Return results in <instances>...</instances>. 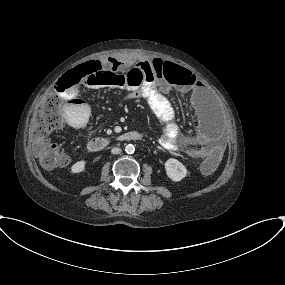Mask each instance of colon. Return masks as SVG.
Listing matches in <instances>:
<instances>
[{
    "label": "colon",
    "instance_id": "colon-1",
    "mask_svg": "<svg viewBox=\"0 0 285 285\" xmlns=\"http://www.w3.org/2000/svg\"><path fill=\"white\" fill-rule=\"evenodd\" d=\"M175 69L169 64L158 70V77L167 78ZM103 80L111 87L124 89L129 92H139L144 87V73L139 67H132L125 71L118 68V63L106 58L102 60H89L65 72L60 78V90L63 83L67 89L88 80ZM89 120V119H88ZM88 120H81L79 126H84ZM65 124L62 98L56 94H49L41 108L30 121V141L33 153L36 155L43 169H52L67 163V157L57 147L49 142L51 133L61 129ZM221 160L219 152L214 153L201 164L204 174L214 172Z\"/></svg>",
    "mask_w": 285,
    "mask_h": 285
}]
</instances>
